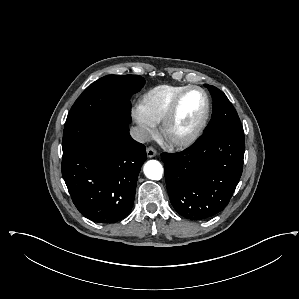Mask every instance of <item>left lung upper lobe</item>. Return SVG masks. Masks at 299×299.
Here are the masks:
<instances>
[{
  "label": "left lung upper lobe",
  "instance_id": "obj_1",
  "mask_svg": "<svg viewBox=\"0 0 299 299\" xmlns=\"http://www.w3.org/2000/svg\"><path fill=\"white\" fill-rule=\"evenodd\" d=\"M213 98L212 119L204 134L219 130L243 132L239 116L226 95L214 86L205 84Z\"/></svg>",
  "mask_w": 299,
  "mask_h": 299
}]
</instances>
